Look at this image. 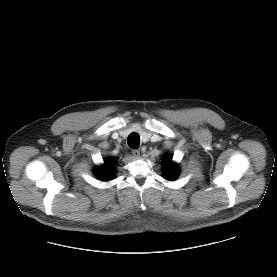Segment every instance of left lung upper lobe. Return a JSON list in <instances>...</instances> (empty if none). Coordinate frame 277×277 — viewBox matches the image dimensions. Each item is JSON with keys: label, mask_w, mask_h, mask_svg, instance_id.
Instances as JSON below:
<instances>
[{"label": "left lung upper lobe", "mask_w": 277, "mask_h": 277, "mask_svg": "<svg viewBox=\"0 0 277 277\" xmlns=\"http://www.w3.org/2000/svg\"><path fill=\"white\" fill-rule=\"evenodd\" d=\"M163 164L166 170L164 178L167 180H175L178 177V167L175 163L172 162V156H167Z\"/></svg>", "instance_id": "1"}]
</instances>
